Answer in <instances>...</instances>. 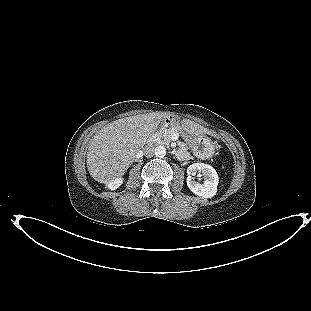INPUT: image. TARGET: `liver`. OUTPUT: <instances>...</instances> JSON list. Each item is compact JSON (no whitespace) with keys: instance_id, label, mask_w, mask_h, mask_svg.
Here are the masks:
<instances>
[{"instance_id":"6515ba94","label":"liver","mask_w":311,"mask_h":311,"mask_svg":"<svg viewBox=\"0 0 311 311\" xmlns=\"http://www.w3.org/2000/svg\"><path fill=\"white\" fill-rule=\"evenodd\" d=\"M165 116V113L157 112L139 114L113 121L99 130L91 139L87 152L91 177L104 184L121 178ZM182 124L191 133L206 132L193 121L184 119Z\"/></svg>"}]
</instances>
